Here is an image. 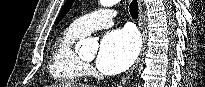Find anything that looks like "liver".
I'll use <instances>...</instances> for the list:
<instances>
[{
	"mask_svg": "<svg viewBox=\"0 0 205 87\" xmlns=\"http://www.w3.org/2000/svg\"><path fill=\"white\" fill-rule=\"evenodd\" d=\"M51 87H89L84 84H74V83H61V84H54Z\"/></svg>",
	"mask_w": 205,
	"mask_h": 87,
	"instance_id": "liver-1",
	"label": "liver"
}]
</instances>
